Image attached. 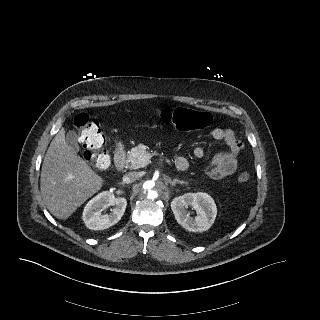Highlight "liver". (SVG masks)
Returning <instances> with one entry per match:
<instances>
[{
  "instance_id": "6515ba94",
  "label": "liver",
  "mask_w": 320,
  "mask_h": 320,
  "mask_svg": "<svg viewBox=\"0 0 320 320\" xmlns=\"http://www.w3.org/2000/svg\"><path fill=\"white\" fill-rule=\"evenodd\" d=\"M102 185V178L68 145L62 128L42 164L40 189L49 212L58 219L69 218Z\"/></svg>"
}]
</instances>
